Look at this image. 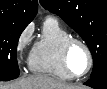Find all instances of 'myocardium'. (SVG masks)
<instances>
[{
    "label": "myocardium",
    "instance_id": "f54148a6",
    "mask_svg": "<svg viewBox=\"0 0 107 89\" xmlns=\"http://www.w3.org/2000/svg\"><path fill=\"white\" fill-rule=\"evenodd\" d=\"M75 44L82 46L88 57V66L82 74H74L71 71L70 66H69V53H70L71 48ZM61 61H62V65H63L65 71L69 74V76L71 78H80V77L85 76L91 70V68L93 66V55H92V52H91L89 46L87 45V43L85 41H83L80 38L71 36V37L67 38L61 46Z\"/></svg>",
    "mask_w": 107,
    "mask_h": 89
}]
</instances>
